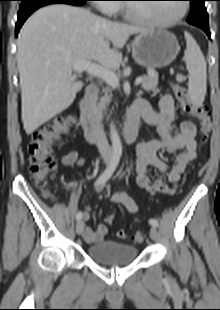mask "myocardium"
Wrapping results in <instances>:
<instances>
[{
    "label": "myocardium",
    "mask_w": 220,
    "mask_h": 310,
    "mask_svg": "<svg viewBox=\"0 0 220 310\" xmlns=\"http://www.w3.org/2000/svg\"><path fill=\"white\" fill-rule=\"evenodd\" d=\"M122 9H123L124 16L132 22L150 26V27H155V28H166V27H171L177 24L178 22H180L185 17L188 7L185 2H182L179 13L175 17L169 20H164V21L152 20V19L145 18V17L134 14L131 9L130 4H124L122 6Z\"/></svg>",
    "instance_id": "1"
}]
</instances>
